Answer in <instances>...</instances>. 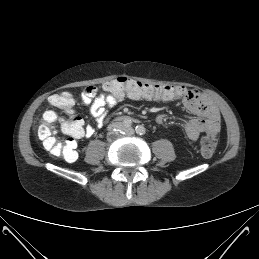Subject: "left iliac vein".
Segmentation results:
<instances>
[{
	"label": "left iliac vein",
	"instance_id": "left-iliac-vein-1",
	"mask_svg": "<svg viewBox=\"0 0 259 259\" xmlns=\"http://www.w3.org/2000/svg\"><path fill=\"white\" fill-rule=\"evenodd\" d=\"M125 131L128 134H134V129L133 128H126Z\"/></svg>",
	"mask_w": 259,
	"mask_h": 259
}]
</instances>
